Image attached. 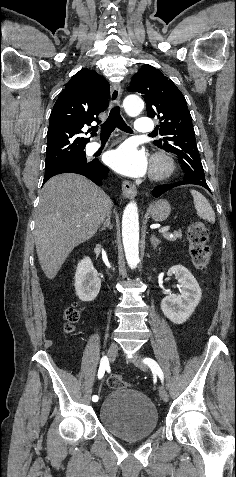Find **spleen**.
<instances>
[{"label": "spleen", "mask_w": 236, "mask_h": 477, "mask_svg": "<svg viewBox=\"0 0 236 477\" xmlns=\"http://www.w3.org/2000/svg\"><path fill=\"white\" fill-rule=\"evenodd\" d=\"M197 215L210 223L215 222V213L209 201L198 191L191 190Z\"/></svg>", "instance_id": "1"}]
</instances>
